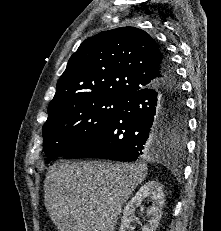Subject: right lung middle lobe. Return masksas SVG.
Masks as SVG:
<instances>
[{
	"mask_svg": "<svg viewBox=\"0 0 221 231\" xmlns=\"http://www.w3.org/2000/svg\"><path fill=\"white\" fill-rule=\"evenodd\" d=\"M125 99L90 96L64 105L48 116L42 128L43 147L48 160L61 157L98 131L121 107ZM164 136L182 149L185 145L187 115L184 101L168 104L164 114Z\"/></svg>",
	"mask_w": 221,
	"mask_h": 231,
	"instance_id": "right-lung-middle-lobe-1",
	"label": "right lung middle lobe"
}]
</instances>
